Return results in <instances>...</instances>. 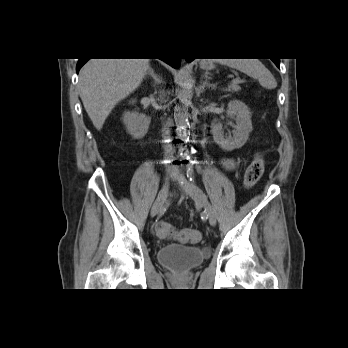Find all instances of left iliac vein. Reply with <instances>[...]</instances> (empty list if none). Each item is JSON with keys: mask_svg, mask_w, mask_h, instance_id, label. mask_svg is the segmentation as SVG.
Wrapping results in <instances>:
<instances>
[{"mask_svg": "<svg viewBox=\"0 0 348 348\" xmlns=\"http://www.w3.org/2000/svg\"><path fill=\"white\" fill-rule=\"evenodd\" d=\"M178 184L181 190L191 197L197 204L203 206L206 210L209 223L211 226H215L217 222L216 214L209 203L206 194L195 184L188 182L185 178L180 177L178 179Z\"/></svg>", "mask_w": 348, "mask_h": 348, "instance_id": "obj_1", "label": "left iliac vein"}]
</instances>
